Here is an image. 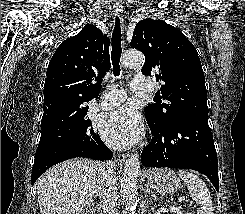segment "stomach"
Here are the masks:
<instances>
[{
  "label": "stomach",
  "instance_id": "stomach-1",
  "mask_svg": "<svg viewBox=\"0 0 245 214\" xmlns=\"http://www.w3.org/2000/svg\"><path fill=\"white\" fill-rule=\"evenodd\" d=\"M147 185L157 193L172 194L181 187L180 179L168 168L146 171Z\"/></svg>",
  "mask_w": 245,
  "mask_h": 214
}]
</instances>
